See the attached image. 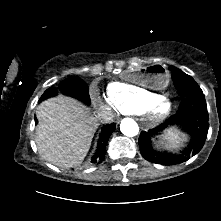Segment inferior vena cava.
Segmentation results:
<instances>
[{"label": "inferior vena cava", "mask_w": 221, "mask_h": 221, "mask_svg": "<svg viewBox=\"0 0 221 221\" xmlns=\"http://www.w3.org/2000/svg\"><path fill=\"white\" fill-rule=\"evenodd\" d=\"M97 117L102 123H109L113 121L114 113L109 108H100Z\"/></svg>", "instance_id": "1"}]
</instances>
